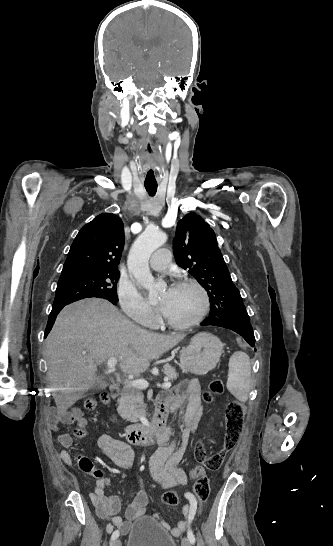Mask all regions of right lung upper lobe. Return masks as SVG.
I'll list each match as a JSON object with an SVG mask.
<instances>
[{
  "instance_id": "obj_1",
  "label": "right lung upper lobe",
  "mask_w": 333,
  "mask_h": 546,
  "mask_svg": "<svg viewBox=\"0 0 333 546\" xmlns=\"http://www.w3.org/2000/svg\"><path fill=\"white\" fill-rule=\"evenodd\" d=\"M123 246L122 220L112 213L100 214L77 234L61 275L118 270Z\"/></svg>"
}]
</instances>
